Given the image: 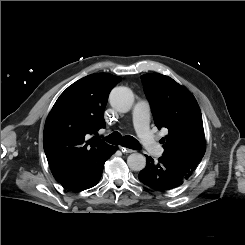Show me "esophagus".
<instances>
[{"instance_id":"1","label":"esophagus","mask_w":245,"mask_h":245,"mask_svg":"<svg viewBox=\"0 0 245 245\" xmlns=\"http://www.w3.org/2000/svg\"><path fill=\"white\" fill-rule=\"evenodd\" d=\"M119 149L123 152V153H132L134 152V150L126 148L124 146H119Z\"/></svg>"}]
</instances>
